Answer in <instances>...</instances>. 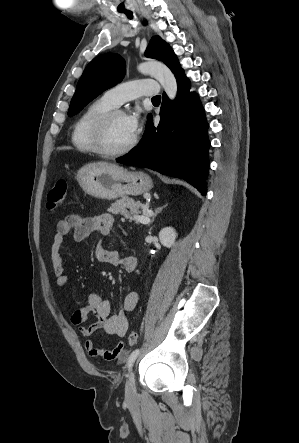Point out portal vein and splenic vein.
Segmentation results:
<instances>
[{"label":"portal vein and splenic vein","instance_id":"obj_1","mask_svg":"<svg viewBox=\"0 0 299 443\" xmlns=\"http://www.w3.org/2000/svg\"><path fill=\"white\" fill-rule=\"evenodd\" d=\"M135 218H137L142 224H148L150 222V216L147 213L142 216H135Z\"/></svg>","mask_w":299,"mask_h":443}]
</instances>
